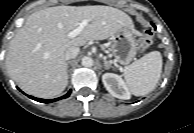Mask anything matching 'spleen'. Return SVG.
Here are the masks:
<instances>
[{"instance_id":"spleen-1","label":"spleen","mask_w":194,"mask_h":133,"mask_svg":"<svg viewBox=\"0 0 194 133\" xmlns=\"http://www.w3.org/2000/svg\"><path fill=\"white\" fill-rule=\"evenodd\" d=\"M161 72V53L152 51L127 66L124 69V78L129 91L133 95L143 96L156 87Z\"/></svg>"}]
</instances>
